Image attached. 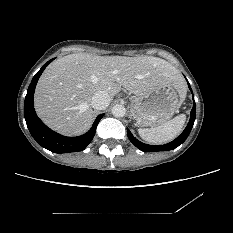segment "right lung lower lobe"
I'll return each instance as SVG.
<instances>
[{"instance_id": "1", "label": "right lung lower lobe", "mask_w": 233, "mask_h": 233, "mask_svg": "<svg viewBox=\"0 0 233 233\" xmlns=\"http://www.w3.org/2000/svg\"><path fill=\"white\" fill-rule=\"evenodd\" d=\"M54 60L48 61L39 72L33 77L25 97L24 102V117L26 120L27 127L32 137L45 149L55 153H68L78 152L84 150L87 145L92 141L96 128L104 114L98 115L94 121L91 129L77 137H66L62 136L51 129H49L36 115L34 109V91L39 77L41 76L44 69Z\"/></svg>"}]
</instances>
